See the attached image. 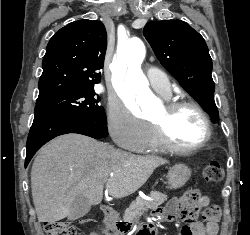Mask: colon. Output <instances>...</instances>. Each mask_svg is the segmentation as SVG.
<instances>
[{
	"label": "colon",
	"mask_w": 250,
	"mask_h": 235,
	"mask_svg": "<svg viewBox=\"0 0 250 235\" xmlns=\"http://www.w3.org/2000/svg\"><path fill=\"white\" fill-rule=\"evenodd\" d=\"M203 179L207 183H218L223 178L221 166L217 162L207 164L203 169ZM221 217V208L218 204H212L203 211V220L208 225H217ZM89 223V219L82 220ZM47 235H77L76 227L67 221H50L44 223Z\"/></svg>",
	"instance_id": "1"
}]
</instances>
